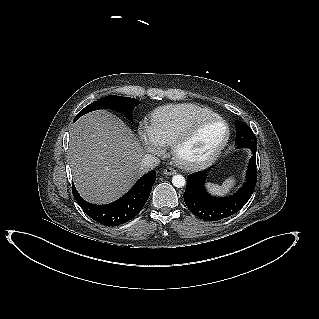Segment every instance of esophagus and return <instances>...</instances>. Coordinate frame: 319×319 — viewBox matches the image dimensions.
I'll return each mask as SVG.
<instances>
[{"label": "esophagus", "instance_id": "esophagus-1", "mask_svg": "<svg viewBox=\"0 0 319 319\" xmlns=\"http://www.w3.org/2000/svg\"><path fill=\"white\" fill-rule=\"evenodd\" d=\"M163 173L165 175H174V174H176V170H174L171 167H167V168L164 169Z\"/></svg>", "mask_w": 319, "mask_h": 319}]
</instances>
